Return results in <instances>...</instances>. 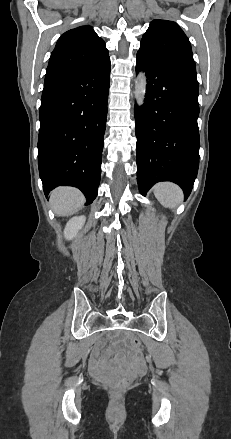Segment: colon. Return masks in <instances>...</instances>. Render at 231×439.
Segmentation results:
<instances>
[{
	"instance_id": "1",
	"label": "colon",
	"mask_w": 231,
	"mask_h": 439,
	"mask_svg": "<svg viewBox=\"0 0 231 439\" xmlns=\"http://www.w3.org/2000/svg\"><path fill=\"white\" fill-rule=\"evenodd\" d=\"M132 348L138 350L142 347L140 339L136 336L132 337L130 340ZM129 382V378L126 376L115 378L112 382V387L115 391L119 392L123 390Z\"/></svg>"
}]
</instances>
